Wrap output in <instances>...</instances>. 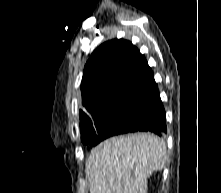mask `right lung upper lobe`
I'll return each mask as SVG.
<instances>
[{"mask_svg":"<svg viewBox=\"0 0 221 193\" xmlns=\"http://www.w3.org/2000/svg\"><path fill=\"white\" fill-rule=\"evenodd\" d=\"M82 103L94 115L100 108L123 99L150 101L158 91L145 57L129 41L114 39L100 45L88 59L83 73Z\"/></svg>","mask_w":221,"mask_h":193,"instance_id":"right-lung-upper-lobe-1","label":"right lung upper lobe"}]
</instances>
